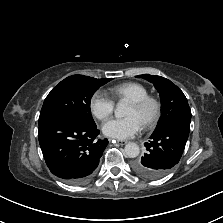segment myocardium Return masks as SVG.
<instances>
[{
	"label": "myocardium",
	"instance_id": "1",
	"mask_svg": "<svg viewBox=\"0 0 223 223\" xmlns=\"http://www.w3.org/2000/svg\"><path fill=\"white\" fill-rule=\"evenodd\" d=\"M130 104L139 110H150L149 115L141 124L143 128H152L157 124L162 113V102L158 97L147 95L140 99L130 101Z\"/></svg>",
	"mask_w": 223,
	"mask_h": 223
}]
</instances>
